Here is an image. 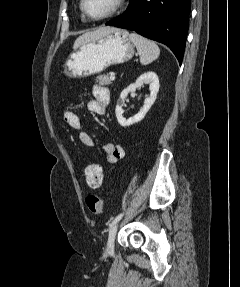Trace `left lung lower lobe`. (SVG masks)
<instances>
[{
  "mask_svg": "<svg viewBox=\"0 0 240 287\" xmlns=\"http://www.w3.org/2000/svg\"><path fill=\"white\" fill-rule=\"evenodd\" d=\"M190 10V0H131L126 11L106 25L129 29L166 44L181 64Z\"/></svg>",
  "mask_w": 240,
  "mask_h": 287,
  "instance_id": "obj_1",
  "label": "left lung lower lobe"
}]
</instances>
